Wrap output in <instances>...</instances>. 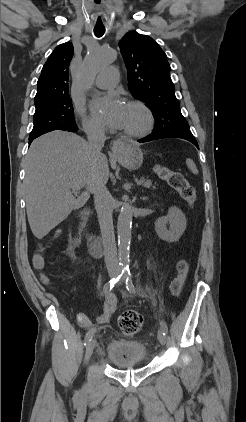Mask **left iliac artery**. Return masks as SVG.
Segmentation results:
<instances>
[{
  "instance_id": "1",
  "label": "left iliac artery",
  "mask_w": 246,
  "mask_h": 422,
  "mask_svg": "<svg viewBox=\"0 0 246 422\" xmlns=\"http://www.w3.org/2000/svg\"><path fill=\"white\" fill-rule=\"evenodd\" d=\"M124 278H125V281H126V288H127V290L130 293H135V287H134L133 280H132V275H131V272H130L129 269H126L124 271ZM160 325H161V328L164 331V335H166L167 332H168L167 324L164 321H161Z\"/></svg>"
}]
</instances>
